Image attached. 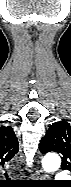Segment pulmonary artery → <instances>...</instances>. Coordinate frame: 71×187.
Returning a JSON list of instances; mask_svg holds the SVG:
<instances>
[{"label": "pulmonary artery", "instance_id": "e3ab8cb5", "mask_svg": "<svg viewBox=\"0 0 71 187\" xmlns=\"http://www.w3.org/2000/svg\"><path fill=\"white\" fill-rule=\"evenodd\" d=\"M57 178H58V179H65V178H67V176H66V174H64V173H59V174L57 175Z\"/></svg>", "mask_w": 71, "mask_h": 187}]
</instances>
